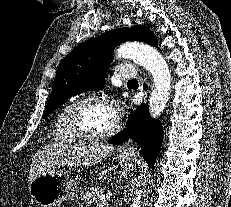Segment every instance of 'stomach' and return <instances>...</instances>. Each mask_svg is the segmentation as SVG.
I'll list each match as a JSON object with an SVG mask.
<instances>
[{
    "instance_id": "1",
    "label": "stomach",
    "mask_w": 231,
    "mask_h": 207,
    "mask_svg": "<svg viewBox=\"0 0 231 207\" xmlns=\"http://www.w3.org/2000/svg\"><path fill=\"white\" fill-rule=\"evenodd\" d=\"M118 161L126 171L136 167V159L129 154H120ZM29 192L41 207H57L60 203L76 197L78 186L76 181L65 173L46 170L37 174L30 182Z\"/></svg>"
}]
</instances>
